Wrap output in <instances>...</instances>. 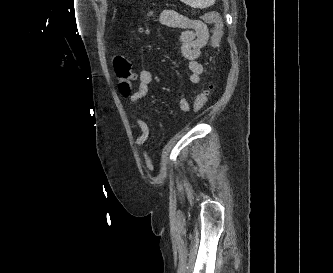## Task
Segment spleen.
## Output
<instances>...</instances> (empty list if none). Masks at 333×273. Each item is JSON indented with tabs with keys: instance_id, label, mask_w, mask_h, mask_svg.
Returning a JSON list of instances; mask_svg holds the SVG:
<instances>
[{
	"instance_id": "obj_1",
	"label": "spleen",
	"mask_w": 333,
	"mask_h": 273,
	"mask_svg": "<svg viewBox=\"0 0 333 273\" xmlns=\"http://www.w3.org/2000/svg\"><path fill=\"white\" fill-rule=\"evenodd\" d=\"M216 0H181L193 8H206L215 3Z\"/></svg>"
}]
</instances>
